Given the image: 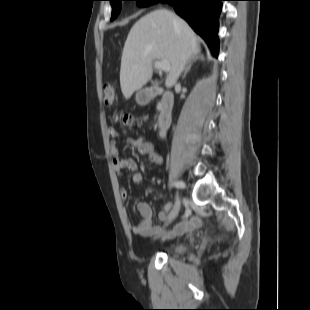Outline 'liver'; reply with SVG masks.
<instances>
[{"instance_id": "obj_1", "label": "liver", "mask_w": 310, "mask_h": 310, "mask_svg": "<svg viewBox=\"0 0 310 310\" xmlns=\"http://www.w3.org/2000/svg\"><path fill=\"white\" fill-rule=\"evenodd\" d=\"M197 52H200L198 39L183 19L165 9L148 13L133 25L125 41L120 68L123 96L129 99L147 84L153 74L154 60L170 64L165 86L173 87Z\"/></svg>"}]
</instances>
